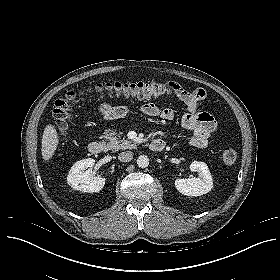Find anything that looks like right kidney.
<instances>
[{
    "label": "right kidney",
    "mask_w": 280,
    "mask_h": 280,
    "mask_svg": "<svg viewBox=\"0 0 280 280\" xmlns=\"http://www.w3.org/2000/svg\"><path fill=\"white\" fill-rule=\"evenodd\" d=\"M94 164L95 160L92 158L83 159L74 163L67 176L68 185L75 190L88 193L102 190L106 179L93 175L91 169Z\"/></svg>",
    "instance_id": "ca27d5eb"
}]
</instances>
